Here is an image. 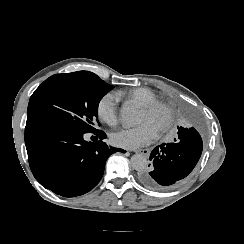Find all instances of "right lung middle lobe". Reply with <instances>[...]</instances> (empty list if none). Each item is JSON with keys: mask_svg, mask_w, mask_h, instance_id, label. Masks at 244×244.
I'll return each instance as SVG.
<instances>
[{"mask_svg": "<svg viewBox=\"0 0 244 244\" xmlns=\"http://www.w3.org/2000/svg\"><path fill=\"white\" fill-rule=\"evenodd\" d=\"M113 87L89 71L53 75L32 94L27 123L42 122L75 132H95L92 125L98 104Z\"/></svg>", "mask_w": 244, "mask_h": 244, "instance_id": "1", "label": "right lung middle lobe"}]
</instances>
